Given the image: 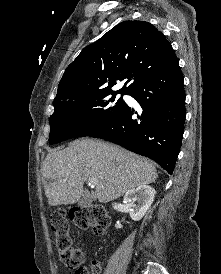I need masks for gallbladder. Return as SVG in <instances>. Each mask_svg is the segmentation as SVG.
<instances>
[{
	"label": "gallbladder",
	"instance_id": "obj_1",
	"mask_svg": "<svg viewBox=\"0 0 221 274\" xmlns=\"http://www.w3.org/2000/svg\"><path fill=\"white\" fill-rule=\"evenodd\" d=\"M91 196L88 192H85L83 194V196L80 198V200L78 201V205L81 207H87L91 204Z\"/></svg>",
	"mask_w": 221,
	"mask_h": 274
}]
</instances>
